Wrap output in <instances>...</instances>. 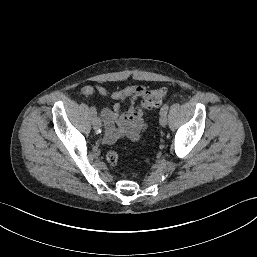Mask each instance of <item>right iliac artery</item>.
<instances>
[{
	"instance_id": "1",
	"label": "right iliac artery",
	"mask_w": 257,
	"mask_h": 257,
	"mask_svg": "<svg viewBox=\"0 0 257 257\" xmlns=\"http://www.w3.org/2000/svg\"><path fill=\"white\" fill-rule=\"evenodd\" d=\"M90 116H91L92 120H94L97 117V111H96L95 106L90 107Z\"/></svg>"
}]
</instances>
